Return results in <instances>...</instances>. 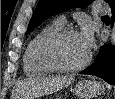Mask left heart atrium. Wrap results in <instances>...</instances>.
Returning a JSON list of instances; mask_svg holds the SVG:
<instances>
[{
    "instance_id": "39dd6f15",
    "label": "left heart atrium",
    "mask_w": 115,
    "mask_h": 99,
    "mask_svg": "<svg viewBox=\"0 0 115 99\" xmlns=\"http://www.w3.org/2000/svg\"><path fill=\"white\" fill-rule=\"evenodd\" d=\"M80 37L85 45V47L87 48V50L90 49L92 42H93V36H92V32L89 28H86L81 34Z\"/></svg>"
}]
</instances>
